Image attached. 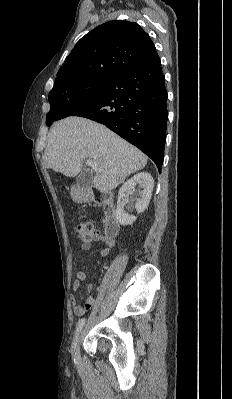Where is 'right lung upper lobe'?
I'll return each mask as SVG.
<instances>
[{
	"instance_id": "obj_1",
	"label": "right lung upper lobe",
	"mask_w": 232,
	"mask_h": 399,
	"mask_svg": "<svg viewBox=\"0 0 232 399\" xmlns=\"http://www.w3.org/2000/svg\"><path fill=\"white\" fill-rule=\"evenodd\" d=\"M156 52L149 35L134 22H106L82 37L57 73L49 95L84 79L110 78Z\"/></svg>"
}]
</instances>
